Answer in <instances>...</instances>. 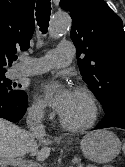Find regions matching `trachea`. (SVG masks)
Listing matches in <instances>:
<instances>
[{
    "mask_svg": "<svg viewBox=\"0 0 125 167\" xmlns=\"http://www.w3.org/2000/svg\"><path fill=\"white\" fill-rule=\"evenodd\" d=\"M51 15L50 0H37L36 5V21L42 33H46L49 27Z\"/></svg>",
    "mask_w": 125,
    "mask_h": 167,
    "instance_id": "obj_1",
    "label": "trachea"
}]
</instances>
